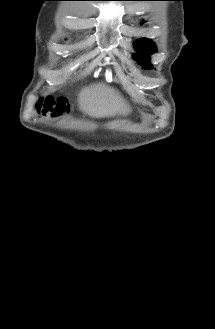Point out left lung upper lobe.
<instances>
[{"label": "left lung upper lobe", "instance_id": "1", "mask_svg": "<svg viewBox=\"0 0 215 329\" xmlns=\"http://www.w3.org/2000/svg\"><path fill=\"white\" fill-rule=\"evenodd\" d=\"M134 46L139 52V55H136L135 58L139 60V63L143 65V68L151 69L152 65L149 63L150 58L146 57V55L156 52L155 44L147 38H142L138 39L134 43Z\"/></svg>", "mask_w": 215, "mask_h": 329}]
</instances>
